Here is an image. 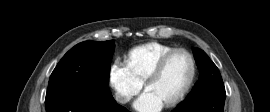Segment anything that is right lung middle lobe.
I'll use <instances>...</instances> for the list:
<instances>
[{"label": "right lung middle lobe", "mask_w": 270, "mask_h": 112, "mask_svg": "<svg viewBox=\"0 0 270 112\" xmlns=\"http://www.w3.org/2000/svg\"><path fill=\"white\" fill-rule=\"evenodd\" d=\"M114 41H84L75 45L60 60L52 72L46 96L70 86L83 89L102 98L111 97L106 87Z\"/></svg>", "instance_id": "dd1d6c3e"}]
</instances>
